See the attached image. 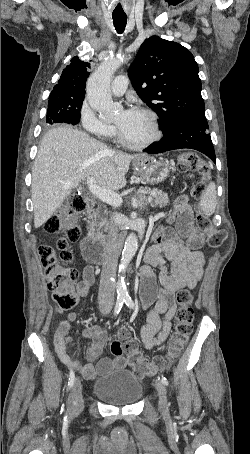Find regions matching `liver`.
Wrapping results in <instances>:
<instances>
[{"label": "liver", "instance_id": "liver-1", "mask_svg": "<svg viewBox=\"0 0 250 454\" xmlns=\"http://www.w3.org/2000/svg\"><path fill=\"white\" fill-rule=\"evenodd\" d=\"M139 156L115 152L77 129L49 130L42 139L32 170L35 228L42 226L79 182L88 177L109 191L125 187L129 165Z\"/></svg>", "mask_w": 250, "mask_h": 454}]
</instances>
